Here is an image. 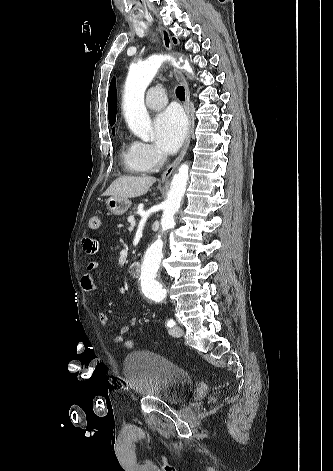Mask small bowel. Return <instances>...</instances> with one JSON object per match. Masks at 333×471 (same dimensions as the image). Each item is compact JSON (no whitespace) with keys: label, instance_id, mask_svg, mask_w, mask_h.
Wrapping results in <instances>:
<instances>
[{"label":"small bowel","instance_id":"1","mask_svg":"<svg viewBox=\"0 0 333 471\" xmlns=\"http://www.w3.org/2000/svg\"><path fill=\"white\" fill-rule=\"evenodd\" d=\"M85 249L92 253L95 251L96 243L93 239L86 238L84 240ZM100 265L97 261H89L86 265V271L81 277V285L84 291L88 294H93L95 292V272L99 269ZM99 323L101 326L106 327L108 325V317L105 312L100 311L98 315ZM138 318L132 317L130 319L129 325H124L120 327L118 334L114 336V342L123 343L125 341V335L129 332L132 327H135L138 324Z\"/></svg>","mask_w":333,"mask_h":471}]
</instances>
